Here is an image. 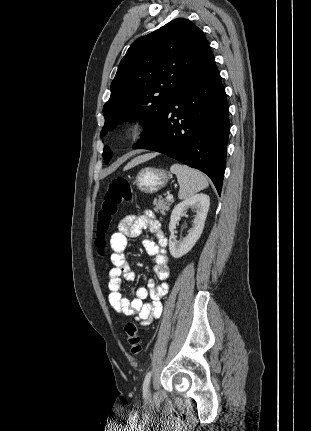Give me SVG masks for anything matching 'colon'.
Wrapping results in <instances>:
<instances>
[{"label":"colon","mask_w":311,"mask_h":431,"mask_svg":"<svg viewBox=\"0 0 311 431\" xmlns=\"http://www.w3.org/2000/svg\"><path fill=\"white\" fill-rule=\"evenodd\" d=\"M132 197L133 190L126 178L117 177L107 184L101 208L98 212L96 246L100 251L105 247V234L117 215L119 207L129 202ZM125 332L132 354L138 355L142 347L136 324L133 322L126 323Z\"/></svg>","instance_id":"1"}]
</instances>
